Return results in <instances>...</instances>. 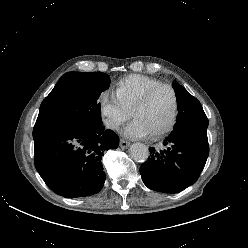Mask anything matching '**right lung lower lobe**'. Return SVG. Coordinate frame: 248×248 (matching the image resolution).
<instances>
[{
	"label": "right lung lower lobe",
	"mask_w": 248,
	"mask_h": 248,
	"mask_svg": "<svg viewBox=\"0 0 248 248\" xmlns=\"http://www.w3.org/2000/svg\"><path fill=\"white\" fill-rule=\"evenodd\" d=\"M35 167L47 186L66 198L98 193L106 175L104 152L117 148L119 139L101 125L35 124Z\"/></svg>",
	"instance_id": "obj_1"
}]
</instances>
